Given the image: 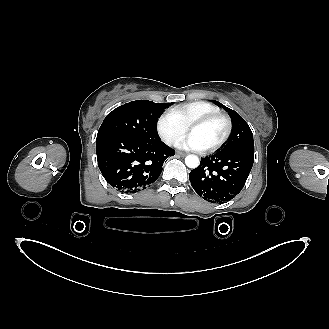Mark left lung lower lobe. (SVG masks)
<instances>
[{
	"mask_svg": "<svg viewBox=\"0 0 329 329\" xmlns=\"http://www.w3.org/2000/svg\"><path fill=\"white\" fill-rule=\"evenodd\" d=\"M254 162V152H217L201 158L200 165L189 174L193 189L204 200L230 201L244 187Z\"/></svg>",
	"mask_w": 329,
	"mask_h": 329,
	"instance_id": "obj_1",
	"label": "left lung lower lobe"
}]
</instances>
